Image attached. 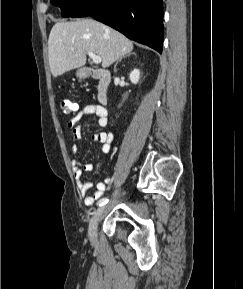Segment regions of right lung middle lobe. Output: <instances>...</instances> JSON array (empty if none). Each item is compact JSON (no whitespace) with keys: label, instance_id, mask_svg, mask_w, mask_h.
<instances>
[{"label":"right lung middle lobe","instance_id":"right-lung-middle-lobe-1","mask_svg":"<svg viewBox=\"0 0 243 289\" xmlns=\"http://www.w3.org/2000/svg\"><path fill=\"white\" fill-rule=\"evenodd\" d=\"M90 0H51V2L59 6L63 17H70L75 11L84 6Z\"/></svg>","mask_w":243,"mask_h":289}]
</instances>
